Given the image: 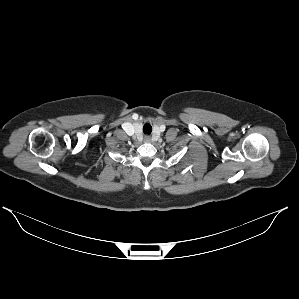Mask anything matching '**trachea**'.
<instances>
[{
	"mask_svg": "<svg viewBox=\"0 0 299 299\" xmlns=\"http://www.w3.org/2000/svg\"><path fill=\"white\" fill-rule=\"evenodd\" d=\"M143 132L146 135H150L152 132V126L149 123H145L143 126Z\"/></svg>",
	"mask_w": 299,
	"mask_h": 299,
	"instance_id": "obj_1",
	"label": "trachea"
}]
</instances>
